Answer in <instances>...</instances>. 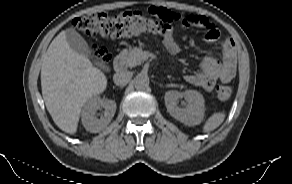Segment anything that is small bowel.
Masks as SVG:
<instances>
[{
	"instance_id": "obj_1",
	"label": "small bowel",
	"mask_w": 292,
	"mask_h": 184,
	"mask_svg": "<svg viewBox=\"0 0 292 184\" xmlns=\"http://www.w3.org/2000/svg\"><path fill=\"white\" fill-rule=\"evenodd\" d=\"M183 23L186 26H196L205 29V40L208 43H215L219 39V29L204 15L189 14L184 18ZM162 39L165 48L170 53L177 54L180 51V46L171 30L165 33ZM236 70L237 55L235 45L231 39H226L222 43L221 57H205L201 62L200 70L186 75L185 80L189 84L210 92L218 80L223 83L230 82L235 77Z\"/></svg>"
}]
</instances>
